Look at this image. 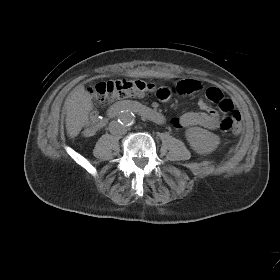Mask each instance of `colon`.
Here are the masks:
<instances>
[{
	"label": "colon",
	"instance_id": "1",
	"mask_svg": "<svg viewBox=\"0 0 280 280\" xmlns=\"http://www.w3.org/2000/svg\"><path fill=\"white\" fill-rule=\"evenodd\" d=\"M93 97L100 103L111 102L116 99H125L136 95H145L155 92L160 100H167L171 91L169 88L156 87L149 82L138 79H116L97 84L90 90ZM206 97L209 101L217 104L221 110L228 116L224 117L219 124V131H232L234 135H239L242 131L240 113L233 109V103L225 98L217 88H209L206 91ZM97 116H91V124H95Z\"/></svg>",
	"mask_w": 280,
	"mask_h": 280
}]
</instances>
